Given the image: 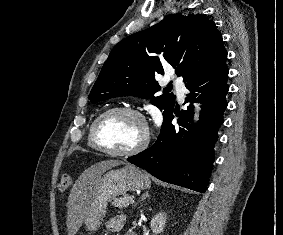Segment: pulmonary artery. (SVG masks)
<instances>
[{
  "label": "pulmonary artery",
  "instance_id": "e3ab8cb5",
  "mask_svg": "<svg viewBox=\"0 0 283 235\" xmlns=\"http://www.w3.org/2000/svg\"><path fill=\"white\" fill-rule=\"evenodd\" d=\"M173 85L176 87L178 92L180 93V98H182V94L185 92L186 88L182 81L175 79L173 80Z\"/></svg>",
  "mask_w": 283,
  "mask_h": 235
}]
</instances>
